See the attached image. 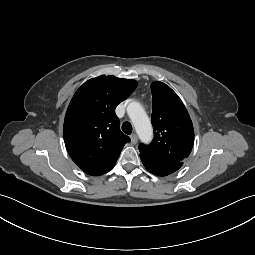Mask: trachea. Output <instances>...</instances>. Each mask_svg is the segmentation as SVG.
<instances>
[{
    "label": "trachea",
    "instance_id": "1",
    "mask_svg": "<svg viewBox=\"0 0 255 255\" xmlns=\"http://www.w3.org/2000/svg\"><path fill=\"white\" fill-rule=\"evenodd\" d=\"M122 131L125 133V134H131V132H132V125H131V123H129V122H124L123 124H122Z\"/></svg>",
    "mask_w": 255,
    "mask_h": 255
}]
</instances>
